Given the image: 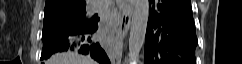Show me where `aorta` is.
Listing matches in <instances>:
<instances>
[{
    "label": "aorta",
    "mask_w": 242,
    "mask_h": 64,
    "mask_svg": "<svg viewBox=\"0 0 242 64\" xmlns=\"http://www.w3.org/2000/svg\"><path fill=\"white\" fill-rule=\"evenodd\" d=\"M149 18V1L135 0L129 37V54L132 58L139 55L143 47Z\"/></svg>",
    "instance_id": "obj_1"
}]
</instances>
